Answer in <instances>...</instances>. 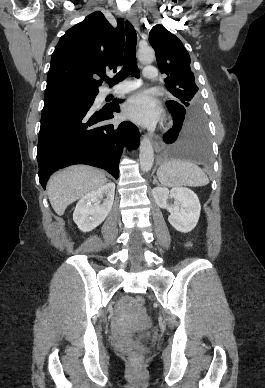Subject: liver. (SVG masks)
Instances as JSON below:
<instances>
[{
    "label": "liver",
    "instance_id": "liver-1",
    "mask_svg": "<svg viewBox=\"0 0 265 388\" xmlns=\"http://www.w3.org/2000/svg\"><path fill=\"white\" fill-rule=\"evenodd\" d=\"M108 182L105 174L90 166H70L50 178L47 184L49 202L58 216H63L67 206L85 194L98 190Z\"/></svg>",
    "mask_w": 265,
    "mask_h": 388
}]
</instances>
